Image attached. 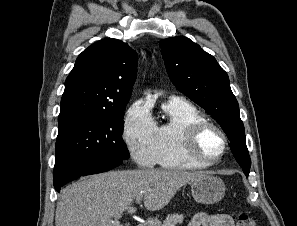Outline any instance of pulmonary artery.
<instances>
[{"mask_svg": "<svg viewBox=\"0 0 297 226\" xmlns=\"http://www.w3.org/2000/svg\"><path fill=\"white\" fill-rule=\"evenodd\" d=\"M170 98H171V99H176L177 97H175V96H171Z\"/></svg>", "mask_w": 297, "mask_h": 226, "instance_id": "e3ab8cb5", "label": "pulmonary artery"}]
</instances>
